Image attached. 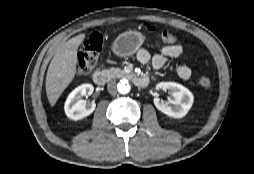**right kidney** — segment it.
<instances>
[{
  "instance_id": "ca27d5eb",
  "label": "right kidney",
  "mask_w": 254,
  "mask_h": 174,
  "mask_svg": "<svg viewBox=\"0 0 254 174\" xmlns=\"http://www.w3.org/2000/svg\"><path fill=\"white\" fill-rule=\"evenodd\" d=\"M94 91L92 84H82L75 88L67 97L64 110L68 118L72 120H80L89 116L96 107L94 102L87 104L81 97L90 95Z\"/></svg>"
}]
</instances>
